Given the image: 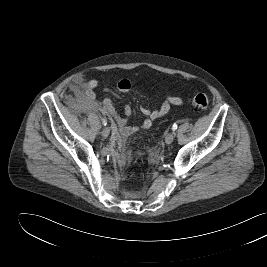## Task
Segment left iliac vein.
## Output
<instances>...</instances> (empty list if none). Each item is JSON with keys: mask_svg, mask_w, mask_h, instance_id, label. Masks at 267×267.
I'll return each instance as SVG.
<instances>
[{"mask_svg": "<svg viewBox=\"0 0 267 267\" xmlns=\"http://www.w3.org/2000/svg\"><path fill=\"white\" fill-rule=\"evenodd\" d=\"M174 140V133L173 132H169L166 134L165 136V142L166 144H171Z\"/></svg>", "mask_w": 267, "mask_h": 267, "instance_id": "obj_1", "label": "left iliac vein"}]
</instances>
